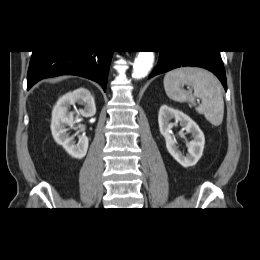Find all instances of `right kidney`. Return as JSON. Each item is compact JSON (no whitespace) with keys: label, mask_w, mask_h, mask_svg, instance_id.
Masks as SVG:
<instances>
[{"label":"right kidney","mask_w":260,"mask_h":260,"mask_svg":"<svg viewBox=\"0 0 260 260\" xmlns=\"http://www.w3.org/2000/svg\"><path fill=\"white\" fill-rule=\"evenodd\" d=\"M75 103L84 105V109L76 110L83 117H92L96 113L94 98L85 88H79L73 92L63 95L56 103L52 111L51 132L54 140L61 145L65 151L76 159H82L88 149L89 140L85 135H78V141L74 136H70L68 128L74 127V112L70 111V106Z\"/></svg>","instance_id":"1"}]
</instances>
